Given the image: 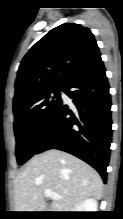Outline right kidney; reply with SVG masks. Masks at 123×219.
<instances>
[{"label": "right kidney", "instance_id": "right-kidney-1", "mask_svg": "<svg viewBox=\"0 0 123 219\" xmlns=\"http://www.w3.org/2000/svg\"><path fill=\"white\" fill-rule=\"evenodd\" d=\"M98 205L94 198H88L75 206L73 212H97Z\"/></svg>", "mask_w": 123, "mask_h": 219}]
</instances>
